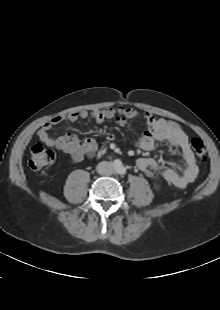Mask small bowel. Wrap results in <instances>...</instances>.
I'll use <instances>...</instances> for the list:
<instances>
[{"mask_svg":"<svg viewBox=\"0 0 220 310\" xmlns=\"http://www.w3.org/2000/svg\"><path fill=\"white\" fill-rule=\"evenodd\" d=\"M90 116L98 123L113 121L118 125H125L129 120L136 119L141 113L131 107L119 106L87 111L69 112L52 117L38 130L40 141L68 155L73 163H78L85 158H92L98 151V144L93 138L79 139L75 134L67 133L59 137H53L50 131L64 121L75 122ZM148 128L137 141L138 146L146 151L154 148L156 142H167L176 147L181 156L179 163L161 164L151 157H142L137 160V167L148 177L161 176L168 183L177 188H185L196 180L199 168L190 140L182 127L174 122L158 118L151 112L142 114ZM108 141L114 140V135L107 136Z\"/></svg>","mask_w":220,"mask_h":310,"instance_id":"c3829d8e","label":"small bowel"}]
</instances>
